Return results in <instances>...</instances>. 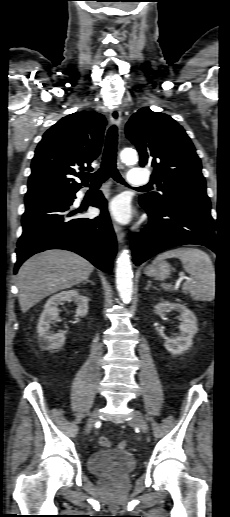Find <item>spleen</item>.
<instances>
[{
    "label": "spleen",
    "mask_w": 230,
    "mask_h": 517,
    "mask_svg": "<svg viewBox=\"0 0 230 517\" xmlns=\"http://www.w3.org/2000/svg\"><path fill=\"white\" fill-rule=\"evenodd\" d=\"M174 257L181 260L185 271L194 278V282H187L183 289L189 291L194 300H213L216 290V273L208 254L196 248H177L158 255L153 264ZM162 286L165 290L172 289L169 284Z\"/></svg>",
    "instance_id": "3e777b00"
}]
</instances>
